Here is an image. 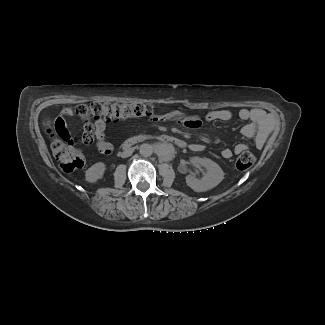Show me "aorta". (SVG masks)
Returning <instances> with one entry per match:
<instances>
[{
	"label": "aorta",
	"mask_w": 325,
	"mask_h": 325,
	"mask_svg": "<svg viewBox=\"0 0 325 325\" xmlns=\"http://www.w3.org/2000/svg\"><path fill=\"white\" fill-rule=\"evenodd\" d=\"M140 154L144 157H149L153 153V147L150 144L144 143L139 148Z\"/></svg>",
	"instance_id": "aorta-1"
}]
</instances>
